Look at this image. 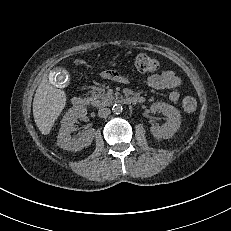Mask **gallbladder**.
Segmentation results:
<instances>
[{
	"label": "gallbladder",
	"instance_id": "1",
	"mask_svg": "<svg viewBox=\"0 0 231 231\" xmlns=\"http://www.w3.org/2000/svg\"><path fill=\"white\" fill-rule=\"evenodd\" d=\"M49 79L55 87H65L70 82V73L62 67H54L49 72Z\"/></svg>",
	"mask_w": 231,
	"mask_h": 231
}]
</instances>
